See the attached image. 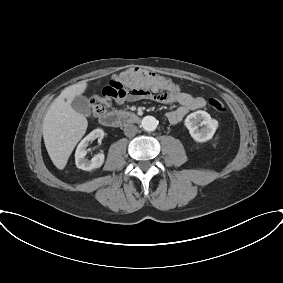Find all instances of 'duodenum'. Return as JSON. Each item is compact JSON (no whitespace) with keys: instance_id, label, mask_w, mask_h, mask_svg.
<instances>
[{"instance_id":"410a0bca","label":"duodenum","mask_w":283,"mask_h":283,"mask_svg":"<svg viewBox=\"0 0 283 283\" xmlns=\"http://www.w3.org/2000/svg\"><path fill=\"white\" fill-rule=\"evenodd\" d=\"M140 118L135 113L111 111L100 117V123L106 127H119L138 123Z\"/></svg>"}]
</instances>
